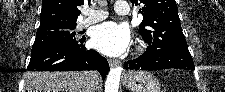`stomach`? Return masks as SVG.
<instances>
[{
  "instance_id": "stomach-1",
  "label": "stomach",
  "mask_w": 225,
  "mask_h": 92,
  "mask_svg": "<svg viewBox=\"0 0 225 92\" xmlns=\"http://www.w3.org/2000/svg\"><path fill=\"white\" fill-rule=\"evenodd\" d=\"M123 83L131 92H160L157 78L147 71H133L125 75Z\"/></svg>"
}]
</instances>
